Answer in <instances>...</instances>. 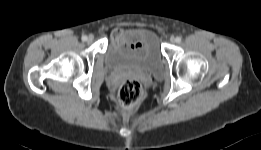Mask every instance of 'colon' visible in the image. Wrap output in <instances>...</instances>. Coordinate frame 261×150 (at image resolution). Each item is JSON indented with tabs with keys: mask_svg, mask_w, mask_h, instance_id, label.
<instances>
[{
	"mask_svg": "<svg viewBox=\"0 0 261 150\" xmlns=\"http://www.w3.org/2000/svg\"><path fill=\"white\" fill-rule=\"evenodd\" d=\"M143 88L136 79L129 78L122 82L118 91V99L125 110L134 109L141 101Z\"/></svg>",
	"mask_w": 261,
	"mask_h": 150,
	"instance_id": "obj_1",
	"label": "colon"
}]
</instances>
